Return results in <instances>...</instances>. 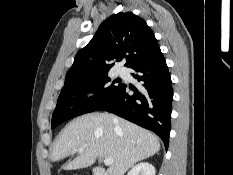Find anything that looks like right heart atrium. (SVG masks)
<instances>
[{
	"mask_svg": "<svg viewBox=\"0 0 233 175\" xmlns=\"http://www.w3.org/2000/svg\"><path fill=\"white\" fill-rule=\"evenodd\" d=\"M85 95L88 96V97H93L96 95V91L95 89L91 88V87H88L85 89L84 91Z\"/></svg>",
	"mask_w": 233,
	"mask_h": 175,
	"instance_id": "1",
	"label": "right heart atrium"
}]
</instances>
